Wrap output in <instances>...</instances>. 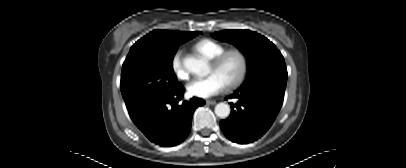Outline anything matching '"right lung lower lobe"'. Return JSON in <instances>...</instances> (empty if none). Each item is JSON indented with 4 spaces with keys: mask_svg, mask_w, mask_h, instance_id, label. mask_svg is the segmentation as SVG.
I'll use <instances>...</instances> for the list:
<instances>
[{
    "mask_svg": "<svg viewBox=\"0 0 406 168\" xmlns=\"http://www.w3.org/2000/svg\"><path fill=\"white\" fill-rule=\"evenodd\" d=\"M184 92L185 89L180 84L172 92L130 115L135 125L151 142L169 147L180 144L188 136L193 113L205 101L193 97L190 101L177 105Z\"/></svg>",
    "mask_w": 406,
    "mask_h": 168,
    "instance_id": "obj_1",
    "label": "right lung lower lobe"
}]
</instances>
